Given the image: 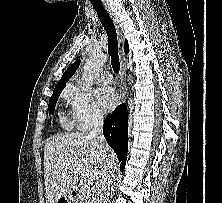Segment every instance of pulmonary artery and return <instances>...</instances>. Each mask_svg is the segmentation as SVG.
Masks as SVG:
<instances>
[{
  "instance_id": "e3ab8cb5",
  "label": "pulmonary artery",
  "mask_w": 222,
  "mask_h": 203,
  "mask_svg": "<svg viewBox=\"0 0 222 203\" xmlns=\"http://www.w3.org/2000/svg\"><path fill=\"white\" fill-rule=\"evenodd\" d=\"M113 81V77H112V74L105 70V71H102L101 74H100V82L104 85H107V84H110L112 83Z\"/></svg>"
}]
</instances>
